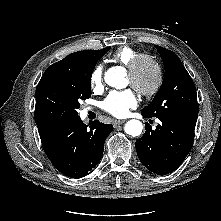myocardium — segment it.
<instances>
[{"label": "myocardium", "instance_id": "f54148a6", "mask_svg": "<svg viewBox=\"0 0 221 221\" xmlns=\"http://www.w3.org/2000/svg\"><path fill=\"white\" fill-rule=\"evenodd\" d=\"M143 63L150 64L155 72V80L153 84L149 88H141L135 82V78L137 73ZM128 75L131 78L130 85L142 96L144 97H152L158 93L162 84H163V69L156 57L147 53H140L133 58L130 65L128 66Z\"/></svg>", "mask_w": 221, "mask_h": 221}]
</instances>
